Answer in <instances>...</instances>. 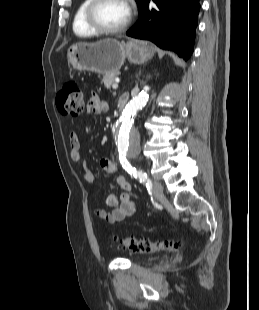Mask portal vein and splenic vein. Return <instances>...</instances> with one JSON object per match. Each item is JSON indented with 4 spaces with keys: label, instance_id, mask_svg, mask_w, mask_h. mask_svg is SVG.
I'll list each match as a JSON object with an SVG mask.
<instances>
[{
    "label": "portal vein and splenic vein",
    "instance_id": "18ae733b",
    "mask_svg": "<svg viewBox=\"0 0 259 310\" xmlns=\"http://www.w3.org/2000/svg\"><path fill=\"white\" fill-rule=\"evenodd\" d=\"M112 88H113V89H117V88H118V83H114V84L112 85Z\"/></svg>",
    "mask_w": 259,
    "mask_h": 310
}]
</instances>
